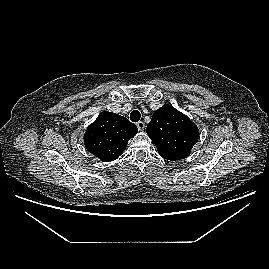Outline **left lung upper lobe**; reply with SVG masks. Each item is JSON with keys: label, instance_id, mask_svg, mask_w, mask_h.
<instances>
[{"label": "left lung upper lobe", "instance_id": "5c2ea615", "mask_svg": "<svg viewBox=\"0 0 269 269\" xmlns=\"http://www.w3.org/2000/svg\"><path fill=\"white\" fill-rule=\"evenodd\" d=\"M146 132L159 154L171 161L186 158L199 138L197 126L169 104L154 112Z\"/></svg>", "mask_w": 269, "mask_h": 269}]
</instances>
